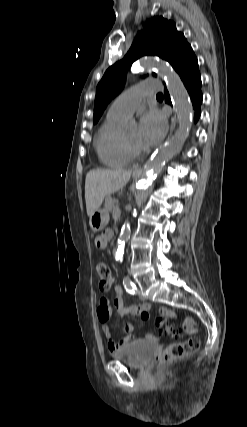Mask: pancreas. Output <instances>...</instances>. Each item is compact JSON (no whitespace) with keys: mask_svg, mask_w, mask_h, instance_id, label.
<instances>
[{"mask_svg":"<svg viewBox=\"0 0 247 427\" xmlns=\"http://www.w3.org/2000/svg\"><path fill=\"white\" fill-rule=\"evenodd\" d=\"M115 207L114 199L111 196H107L105 199V209L107 212H110Z\"/></svg>","mask_w":247,"mask_h":427,"instance_id":"pancreas-1","label":"pancreas"}]
</instances>
